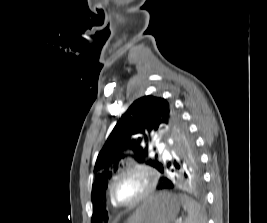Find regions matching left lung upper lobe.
Returning <instances> with one entry per match:
<instances>
[{"label": "left lung upper lobe", "mask_w": 267, "mask_h": 223, "mask_svg": "<svg viewBox=\"0 0 267 223\" xmlns=\"http://www.w3.org/2000/svg\"><path fill=\"white\" fill-rule=\"evenodd\" d=\"M159 131L167 137L176 154L165 162L159 161L157 155L148 158V144ZM130 150L139 163H146L161 173L202 171L194 140L173 105L164 98L144 96L133 102L119 119L97 157L94 173L98 176L89 200L93 204V220L97 217L95 223H101L98 218H107L104 199L108 180Z\"/></svg>", "instance_id": "obj_1"}]
</instances>
